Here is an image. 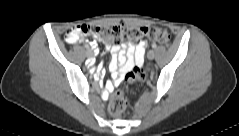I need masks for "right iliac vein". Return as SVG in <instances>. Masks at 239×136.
<instances>
[{
    "label": "right iliac vein",
    "mask_w": 239,
    "mask_h": 136,
    "mask_svg": "<svg viewBox=\"0 0 239 136\" xmlns=\"http://www.w3.org/2000/svg\"><path fill=\"white\" fill-rule=\"evenodd\" d=\"M87 56L92 57L93 56V51L91 49L87 50Z\"/></svg>",
    "instance_id": "63e3f726"
}]
</instances>
